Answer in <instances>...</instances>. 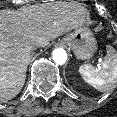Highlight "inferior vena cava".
Masks as SVG:
<instances>
[{
  "label": "inferior vena cava",
  "mask_w": 117,
  "mask_h": 117,
  "mask_svg": "<svg viewBox=\"0 0 117 117\" xmlns=\"http://www.w3.org/2000/svg\"><path fill=\"white\" fill-rule=\"evenodd\" d=\"M29 52H30V54L35 55V54H37L38 49H37V47L32 46V47H30Z\"/></svg>",
  "instance_id": "obj_1"
}]
</instances>
